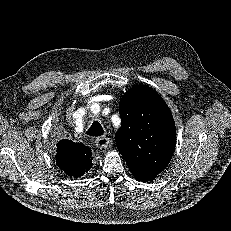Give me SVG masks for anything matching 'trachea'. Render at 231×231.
<instances>
[{
    "instance_id": "3493384b",
    "label": "trachea",
    "mask_w": 231,
    "mask_h": 231,
    "mask_svg": "<svg viewBox=\"0 0 231 231\" xmlns=\"http://www.w3.org/2000/svg\"><path fill=\"white\" fill-rule=\"evenodd\" d=\"M88 136L99 137L104 134V130L98 121H94L90 128L86 131Z\"/></svg>"
}]
</instances>
